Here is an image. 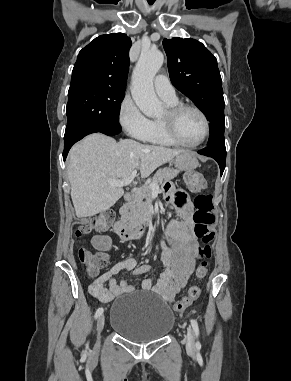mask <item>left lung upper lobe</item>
<instances>
[{
	"instance_id": "1",
	"label": "left lung upper lobe",
	"mask_w": 291,
	"mask_h": 381,
	"mask_svg": "<svg viewBox=\"0 0 291 381\" xmlns=\"http://www.w3.org/2000/svg\"><path fill=\"white\" fill-rule=\"evenodd\" d=\"M172 84L189 97L210 122L208 147L225 146L224 97L217 59L194 39H164Z\"/></svg>"
}]
</instances>
